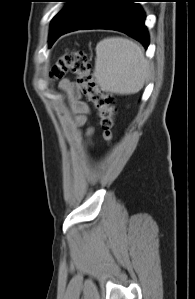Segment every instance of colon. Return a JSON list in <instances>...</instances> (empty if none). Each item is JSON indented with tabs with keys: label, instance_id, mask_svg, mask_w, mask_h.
Segmentation results:
<instances>
[{
	"label": "colon",
	"instance_id": "obj_1",
	"mask_svg": "<svg viewBox=\"0 0 195 299\" xmlns=\"http://www.w3.org/2000/svg\"><path fill=\"white\" fill-rule=\"evenodd\" d=\"M67 73L75 75L82 93L97 113L103 137L111 139L117 113L115 97L99 87L88 55L84 51L67 50L58 57L51 69V77L60 79Z\"/></svg>",
	"mask_w": 195,
	"mask_h": 299
}]
</instances>
